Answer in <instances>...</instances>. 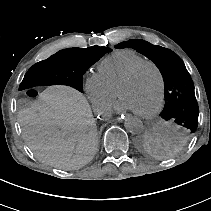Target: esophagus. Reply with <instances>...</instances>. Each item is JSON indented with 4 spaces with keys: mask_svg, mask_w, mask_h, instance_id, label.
I'll list each match as a JSON object with an SVG mask.
<instances>
[{
    "mask_svg": "<svg viewBox=\"0 0 211 211\" xmlns=\"http://www.w3.org/2000/svg\"><path fill=\"white\" fill-rule=\"evenodd\" d=\"M117 121H121V119L124 117L125 119H129L131 117V114L129 112H123V111H119L117 113Z\"/></svg>",
    "mask_w": 211,
    "mask_h": 211,
    "instance_id": "obj_1",
    "label": "esophagus"
}]
</instances>
